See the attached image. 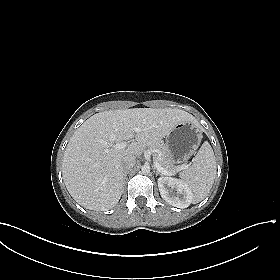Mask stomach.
<instances>
[{
    "label": "stomach",
    "mask_w": 280,
    "mask_h": 280,
    "mask_svg": "<svg viewBox=\"0 0 280 280\" xmlns=\"http://www.w3.org/2000/svg\"><path fill=\"white\" fill-rule=\"evenodd\" d=\"M202 132L196 124L184 121L177 124L166 136L165 146L176 163L192 156L200 145Z\"/></svg>",
    "instance_id": "0dacf381"
}]
</instances>
